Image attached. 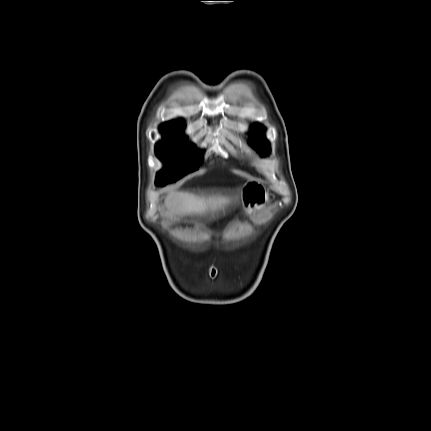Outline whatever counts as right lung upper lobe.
Masks as SVG:
<instances>
[{
	"label": "right lung upper lobe",
	"instance_id": "obj_1",
	"mask_svg": "<svg viewBox=\"0 0 431 431\" xmlns=\"http://www.w3.org/2000/svg\"><path fill=\"white\" fill-rule=\"evenodd\" d=\"M162 128L172 129V130H181L182 129V123L179 121L167 122V123L162 125Z\"/></svg>",
	"mask_w": 431,
	"mask_h": 431
}]
</instances>
